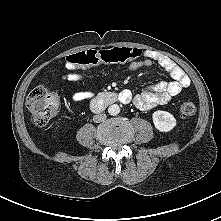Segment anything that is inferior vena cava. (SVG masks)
Masks as SVG:
<instances>
[{
    "label": "inferior vena cava",
    "instance_id": "inferior-vena-cava-1",
    "mask_svg": "<svg viewBox=\"0 0 221 221\" xmlns=\"http://www.w3.org/2000/svg\"><path fill=\"white\" fill-rule=\"evenodd\" d=\"M107 118L106 114H97L93 117V121L96 122V123H100V122H103L105 121Z\"/></svg>",
    "mask_w": 221,
    "mask_h": 221
}]
</instances>
